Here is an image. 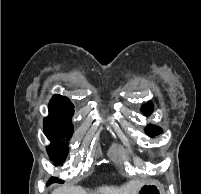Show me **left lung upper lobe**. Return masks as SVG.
<instances>
[{"instance_id":"left-lung-upper-lobe-1","label":"left lung upper lobe","mask_w":201,"mask_h":194,"mask_svg":"<svg viewBox=\"0 0 201 194\" xmlns=\"http://www.w3.org/2000/svg\"><path fill=\"white\" fill-rule=\"evenodd\" d=\"M146 115H149L152 110H153V104L151 102L147 103L145 106L141 108ZM162 132V129L153 125H149L146 127V133L150 136L153 137L155 135H158Z\"/></svg>"}]
</instances>
